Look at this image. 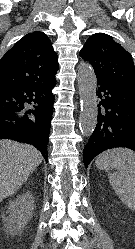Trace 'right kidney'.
<instances>
[{
  "label": "right kidney",
  "mask_w": 135,
  "mask_h": 249,
  "mask_svg": "<svg viewBox=\"0 0 135 249\" xmlns=\"http://www.w3.org/2000/svg\"><path fill=\"white\" fill-rule=\"evenodd\" d=\"M34 198L30 192L10 202L5 227L11 235L20 234L33 215Z\"/></svg>",
  "instance_id": "ca27d5eb"
}]
</instances>
